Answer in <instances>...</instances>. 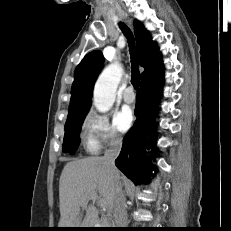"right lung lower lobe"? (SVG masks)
Masks as SVG:
<instances>
[{"instance_id":"98d812e1","label":"right lung lower lobe","mask_w":231,"mask_h":231,"mask_svg":"<svg viewBox=\"0 0 231 231\" xmlns=\"http://www.w3.org/2000/svg\"><path fill=\"white\" fill-rule=\"evenodd\" d=\"M164 76L161 72L157 76L145 80L140 84L136 97L135 115L137 120L123 139L122 151L116 159V166L135 184L147 181L144 173L149 169V156L144 154L145 149L157 151L155 147V128L151 118L155 116L161 97V88ZM150 133V138L146 134ZM154 170L156 168L154 167Z\"/></svg>"}]
</instances>
